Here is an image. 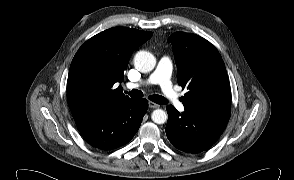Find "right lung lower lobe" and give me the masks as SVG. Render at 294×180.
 <instances>
[{
  "label": "right lung lower lobe",
  "mask_w": 294,
  "mask_h": 180,
  "mask_svg": "<svg viewBox=\"0 0 294 180\" xmlns=\"http://www.w3.org/2000/svg\"><path fill=\"white\" fill-rule=\"evenodd\" d=\"M147 109L146 99H126L105 110L76 119L75 122L90 145L113 149L133 138Z\"/></svg>",
  "instance_id": "right-lung-lower-lobe-1"
}]
</instances>
